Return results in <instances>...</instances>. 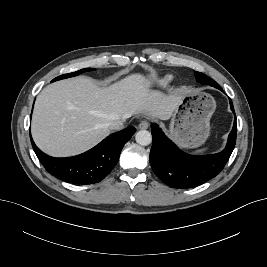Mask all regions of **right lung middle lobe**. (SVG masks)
<instances>
[{
    "label": "right lung middle lobe",
    "instance_id": "dd1d6c3e",
    "mask_svg": "<svg viewBox=\"0 0 267 267\" xmlns=\"http://www.w3.org/2000/svg\"><path fill=\"white\" fill-rule=\"evenodd\" d=\"M90 70H93V69L92 68H84V69L78 70L76 72H72V73H69V74H64V75L56 77L55 79L52 80V82L57 81V80H61V79H64V78H68V77L77 76L79 74H82L83 72L90 71Z\"/></svg>",
    "mask_w": 267,
    "mask_h": 267
}]
</instances>
